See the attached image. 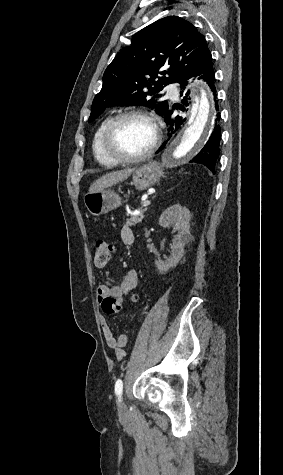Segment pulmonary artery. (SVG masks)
<instances>
[{
  "label": "pulmonary artery",
  "instance_id": "pulmonary-artery-1",
  "mask_svg": "<svg viewBox=\"0 0 283 475\" xmlns=\"http://www.w3.org/2000/svg\"><path fill=\"white\" fill-rule=\"evenodd\" d=\"M165 93L167 96L175 97L178 93V90L175 86L165 87Z\"/></svg>",
  "mask_w": 283,
  "mask_h": 475
}]
</instances>
